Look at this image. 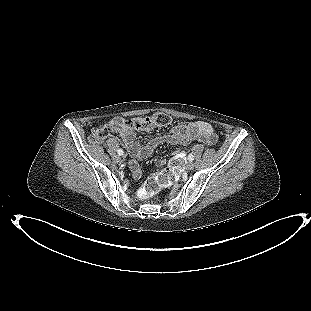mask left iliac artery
<instances>
[{"instance_id":"44dca946","label":"left iliac artery","mask_w":311,"mask_h":311,"mask_svg":"<svg viewBox=\"0 0 311 311\" xmlns=\"http://www.w3.org/2000/svg\"><path fill=\"white\" fill-rule=\"evenodd\" d=\"M188 160H189L190 162H192V161L194 160V156H193L192 154H189V155H188Z\"/></svg>"}]
</instances>
